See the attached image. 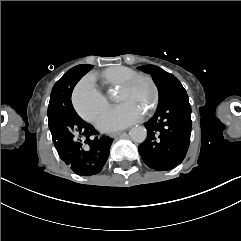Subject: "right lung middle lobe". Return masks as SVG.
I'll return each mask as SVG.
<instances>
[{
  "instance_id": "obj_1",
  "label": "right lung middle lobe",
  "mask_w": 241,
  "mask_h": 241,
  "mask_svg": "<svg viewBox=\"0 0 241 241\" xmlns=\"http://www.w3.org/2000/svg\"><path fill=\"white\" fill-rule=\"evenodd\" d=\"M78 66L65 73L52 89L48 106V122L53 141L63 124L79 118L71 103L72 89L70 88V80Z\"/></svg>"
}]
</instances>
